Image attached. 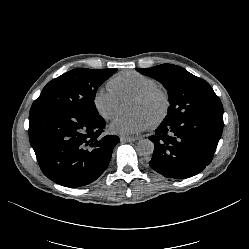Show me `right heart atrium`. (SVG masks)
Listing matches in <instances>:
<instances>
[{
	"label": "right heart atrium",
	"instance_id": "d8ad5b80",
	"mask_svg": "<svg viewBox=\"0 0 249 249\" xmlns=\"http://www.w3.org/2000/svg\"><path fill=\"white\" fill-rule=\"evenodd\" d=\"M92 104L101 118L109 120L117 113L120 99L110 88L100 86L94 91Z\"/></svg>",
	"mask_w": 249,
	"mask_h": 249
}]
</instances>
